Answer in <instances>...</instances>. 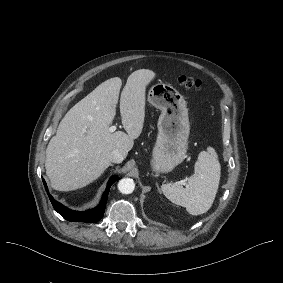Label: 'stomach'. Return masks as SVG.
<instances>
[{
    "instance_id": "0dacf381",
    "label": "stomach",
    "mask_w": 283,
    "mask_h": 283,
    "mask_svg": "<svg viewBox=\"0 0 283 283\" xmlns=\"http://www.w3.org/2000/svg\"><path fill=\"white\" fill-rule=\"evenodd\" d=\"M148 102L161 110L151 166L155 172H170L186 158L190 133L187 104L174 87L164 83L150 88Z\"/></svg>"
}]
</instances>
